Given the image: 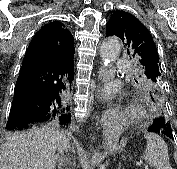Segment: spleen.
I'll return each mask as SVG.
<instances>
[{
  "instance_id": "3e777b00",
  "label": "spleen",
  "mask_w": 177,
  "mask_h": 169,
  "mask_svg": "<svg viewBox=\"0 0 177 169\" xmlns=\"http://www.w3.org/2000/svg\"><path fill=\"white\" fill-rule=\"evenodd\" d=\"M144 137L147 140V145L143 159L155 169H172L165 141L154 133H146Z\"/></svg>"
}]
</instances>
